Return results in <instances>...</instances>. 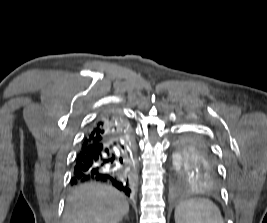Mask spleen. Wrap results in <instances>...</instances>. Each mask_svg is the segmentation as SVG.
Wrapping results in <instances>:
<instances>
[{"label":"spleen","mask_w":267,"mask_h":223,"mask_svg":"<svg viewBox=\"0 0 267 223\" xmlns=\"http://www.w3.org/2000/svg\"><path fill=\"white\" fill-rule=\"evenodd\" d=\"M176 223H224L219 208L210 200L193 198L175 208Z\"/></svg>","instance_id":"spleen-1"}]
</instances>
